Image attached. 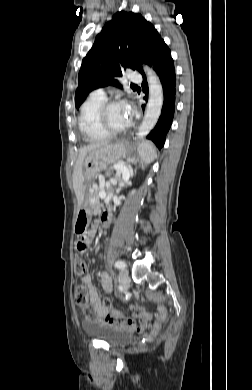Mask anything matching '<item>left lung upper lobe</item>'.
<instances>
[{
    "mask_svg": "<svg viewBox=\"0 0 252 390\" xmlns=\"http://www.w3.org/2000/svg\"><path fill=\"white\" fill-rule=\"evenodd\" d=\"M154 26L138 13L117 12L96 37L82 61L75 95L76 108L94 89L107 85L121 87L116 80L122 70L143 72L139 62L148 64L162 41Z\"/></svg>",
    "mask_w": 252,
    "mask_h": 390,
    "instance_id": "5c2ea615",
    "label": "left lung upper lobe"
}]
</instances>
